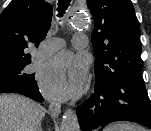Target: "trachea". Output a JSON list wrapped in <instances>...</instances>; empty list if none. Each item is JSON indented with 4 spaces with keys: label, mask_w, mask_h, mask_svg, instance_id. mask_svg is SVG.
<instances>
[{
    "label": "trachea",
    "mask_w": 151,
    "mask_h": 131,
    "mask_svg": "<svg viewBox=\"0 0 151 131\" xmlns=\"http://www.w3.org/2000/svg\"><path fill=\"white\" fill-rule=\"evenodd\" d=\"M71 0H58V8L57 11L59 14L57 15L58 17H62L63 13H65L66 9L70 5Z\"/></svg>",
    "instance_id": "obj_1"
}]
</instances>
